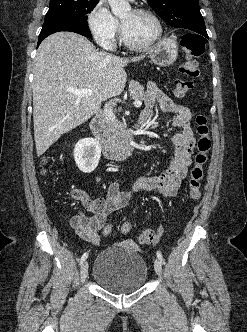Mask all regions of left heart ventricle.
<instances>
[{
    "label": "left heart ventricle",
    "instance_id": "1",
    "mask_svg": "<svg viewBox=\"0 0 247 332\" xmlns=\"http://www.w3.org/2000/svg\"><path fill=\"white\" fill-rule=\"evenodd\" d=\"M121 21L129 39L137 44L148 42L157 32V25L153 18L144 14H136L132 10L126 12L121 17Z\"/></svg>",
    "mask_w": 247,
    "mask_h": 332
}]
</instances>
